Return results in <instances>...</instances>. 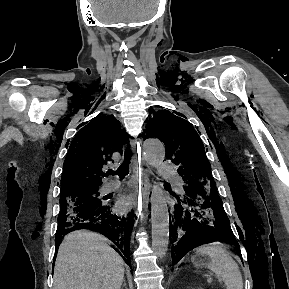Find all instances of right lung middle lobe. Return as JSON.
Segmentation results:
<instances>
[{
    "label": "right lung middle lobe",
    "mask_w": 289,
    "mask_h": 289,
    "mask_svg": "<svg viewBox=\"0 0 289 289\" xmlns=\"http://www.w3.org/2000/svg\"><path fill=\"white\" fill-rule=\"evenodd\" d=\"M103 202L99 197V189L62 195L60 198V214L58 224L65 222L77 213L90 211Z\"/></svg>",
    "instance_id": "1"
}]
</instances>
